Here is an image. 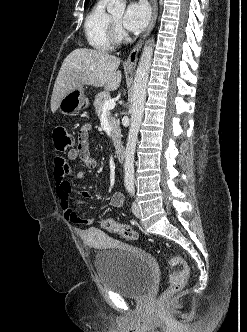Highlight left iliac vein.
<instances>
[{
	"label": "left iliac vein",
	"instance_id": "left-iliac-vein-1",
	"mask_svg": "<svg viewBox=\"0 0 247 332\" xmlns=\"http://www.w3.org/2000/svg\"><path fill=\"white\" fill-rule=\"evenodd\" d=\"M132 212L137 218L141 217V210H140L139 205L136 202H134L132 205Z\"/></svg>",
	"mask_w": 247,
	"mask_h": 332
}]
</instances>
